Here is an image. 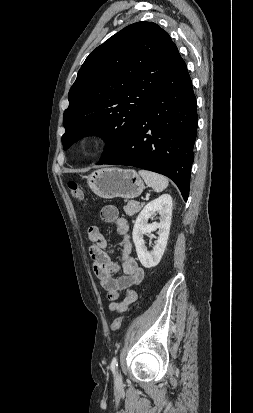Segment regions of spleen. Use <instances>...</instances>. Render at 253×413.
<instances>
[{
    "instance_id": "3e777b00",
    "label": "spleen",
    "mask_w": 253,
    "mask_h": 413,
    "mask_svg": "<svg viewBox=\"0 0 253 413\" xmlns=\"http://www.w3.org/2000/svg\"><path fill=\"white\" fill-rule=\"evenodd\" d=\"M139 175L144 179L147 186L151 187L155 192H162L168 186V179L161 174L139 170Z\"/></svg>"
}]
</instances>
